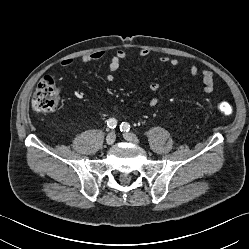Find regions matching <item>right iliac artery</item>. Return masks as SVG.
<instances>
[{
    "mask_svg": "<svg viewBox=\"0 0 249 249\" xmlns=\"http://www.w3.org/2000/svg\"><path fill=\"white\" fill-rule=\"evenodd\" d=\"M107 125L111 129H115L117 126V120L115 118H110L107 120Z\"/></svg>",
    "mask_w": 249,
    "mask_h": 249,
    "instance_id": "82829eb1",
    "label": "right iliac artery"
}]
</instances>
